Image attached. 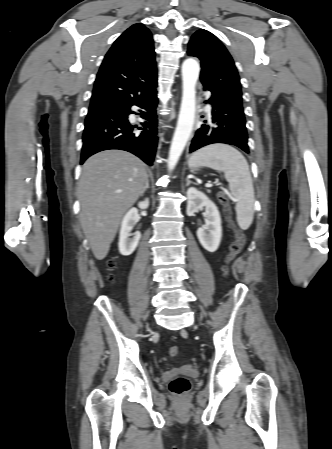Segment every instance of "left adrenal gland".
<instances>
[{
  "label": "left adrenal gland",
  "mask_w": 332,
  "mask_h": 449,
  "mask_svg": "<svg viewBox=\"0 0 332 449\" xmlns=\"http://www.w3.org/2000/svg\"><path fill=\"white\" fill-rule=\"evenodd\" d=\"M195 184L194 182H192L189 178L186 179V186H189V184Z\"/></svg>",
  "instance_id": "1"
}]
</instances>
